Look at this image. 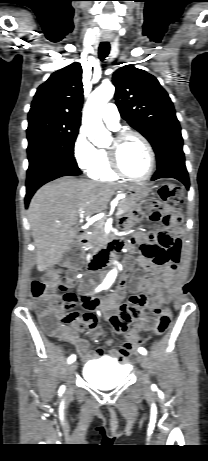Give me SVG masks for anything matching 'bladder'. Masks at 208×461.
Masks as SVG:
<instances>
[{
    "instance_id": "bladder-1",
    "label": "bladder",
    "mask_w": 208,
    "mask_h": 461,
    "mask_svg": "<svg viewBox=\"0 0 208 461\" xmlns=\"http://www.w3.org/2000/svg\"><path fill=\"white\" fill-rule=\"evenodd\" d=\"M130 371L129 366L109 358L89 361L83 368V377L101 389H111L123 382Z\"/></svg>"
}]
</instances>
